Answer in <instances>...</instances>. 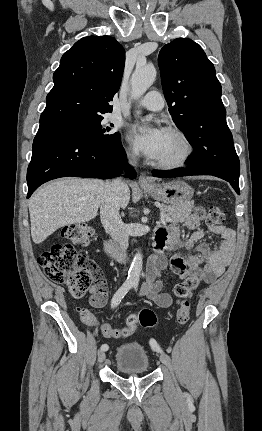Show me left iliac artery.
<instances>
[{
  "instance_id": "44dca946",
  "label": "left iliac artery",
  "mask_w": 262,
  "mask_h": 431,
  "mask_svg": "<svg viewBox=\"0 0 262 431\" xmlns=\"http://www.w3.org/2000/svg\"><path fill=\"white\" fill-rule=\"evenodd\" d=\"M133 286H134V288H135V290H136V288H137V286H138V283H137V282H135V283L133 284ZM150 343H151V345H152V347H153L154 349H156L157 351L162 352V350L160 349L159 345H158L155 341H151Z\"/></svg>"
}]
</instances>
